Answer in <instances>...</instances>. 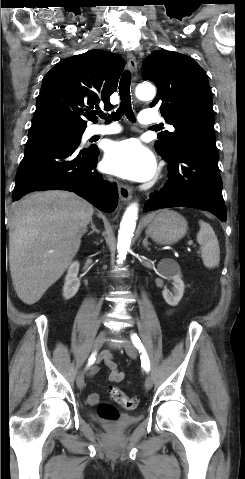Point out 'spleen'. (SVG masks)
Instances as JSON below:
<instances>
[{
    "label": "spleen",
    "instance_id": "spleen-1",
    "mask_svg": "<svg viewBox=\"0 0 245 479\" xmlns=\"http://www.w3.org/2000/svg\"><path fill=\"white\" fill-rule=\"evenodd\" d=\"M200 230L197 234V242L201 245V258L207 268H214L220 262V248L217 236L211 225L199 220Z\"/></svg>",
    "mask_w": 245,
    "mask_h": 479
}]
</instances>
